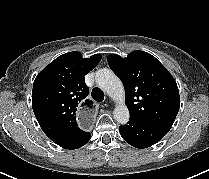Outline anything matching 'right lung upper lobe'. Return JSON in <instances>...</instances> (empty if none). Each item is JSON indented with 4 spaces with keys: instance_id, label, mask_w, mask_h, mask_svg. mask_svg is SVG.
I'll return each mask as SVG.
<instances>
[{
    "instance_id": "obj_1",
    "label": "right lung upper lobe",
    "mask_w": 209,
    "mask_h": 179,
    "mask_svg": "<svg viewBox=\"0 0 209 179\" xmlns=\"http://www.w3.org/2000/svg\"><path fill=\"white\" fill-rule=\"evenodd\" d=\"M96 54L83 58L77 51L63 54L36 77L32 91V108L43 132L56 144L78 134L76 110L92 107L84 76L101 60Z\"/></svg>"
}]
</instances>
